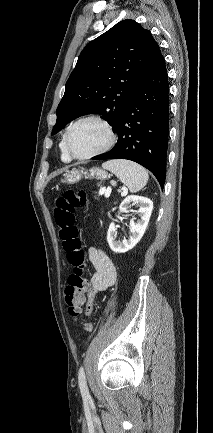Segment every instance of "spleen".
<instances>
[{"label": "spleen", "instance_id": "spleen-1", "mask_svg": "<svg viewBox=\"0 0 213 433\" xmlns=\"http://www.w3.org/2000/svg\"><path fill=\"white\" fill-rule=\"evenodd\" d=\"M102 167L111 171L117 178L135 193L140 191L148 182L147 171L137 163L128 160H110L102 164Z\"/></svg>", "mask_w": 213, "mask_h": 433}]
</instances>
